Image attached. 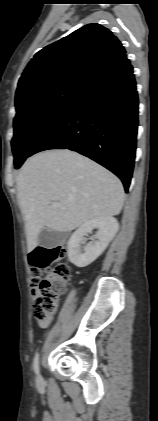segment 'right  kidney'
Segmentation results:
<instances>
[{"mask_svg":"<svg viewBox=\"0 0 158 421\" xmlns=\"http://www.w3.org/2000/svg\"><path fill=\"white\" fill-rule=\"evenodd\" d=\"M93 229H98L95 236L97 240L86 244L82 252L83 236ZM118 229L119 225L114 217L95 218L83 223L68 241L69 261L80 268L90 265L105 251Z\"/></svg>","mask_w":158,"mask_h":421,"instance_id":"obj_1","label":"right kidney"}]
</instances>
